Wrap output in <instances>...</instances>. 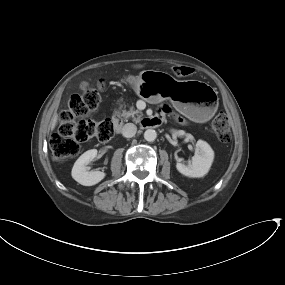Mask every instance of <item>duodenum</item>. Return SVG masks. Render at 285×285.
Listing matches in <instances>:
<instances>
[{"label": "duodenum", "mask_w": 285, "mask_h": 285, "mask_svg": "<svg viewBox=\"0 0 285 285\" xmlns=\"http://www.w3.org/2000/svg\"><path fill=\"white\" fill-rule=\"evenodd\" d=\"M112 121L114 122L116 132H120L122 128V120L118 113L113 114ZM150 123L155 124L156 121L154 119L150 120Z\"/></svg>", "instance_id": "410a0bca"}]
</instances>
